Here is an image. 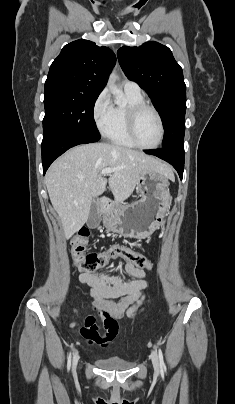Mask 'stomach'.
Here are the masks:
<instances>
[{
  "label": "stomach",
  "instance_id": "stomach-1",
  "mask_svg": "<svg viewBox=\"0 0 235 404\" xmlns=\"http://www.w3.org/2000/svg\"><path fill=\"white\" fill-rule=\"evenodd\" d=\"M168 177L150 170L143 173L136 185L140 199L130 205L112 209L107 229L125 237L144 239L163 224L170 193Z\"/></svg>",
  "mask_w": 235,
  "mask_h": 404
}]
</instances>
